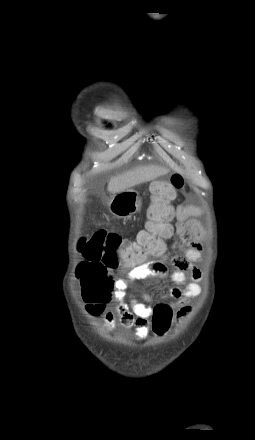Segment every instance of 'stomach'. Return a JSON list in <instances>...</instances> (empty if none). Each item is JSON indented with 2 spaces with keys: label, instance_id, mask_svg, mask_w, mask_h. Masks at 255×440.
<instances>
[{
  "label": "stomach",
  "instance_id": "obj_1",
  "mask_svg": "<svg viewBox=\"0 0 255 440\" xmlns=\"http://www.w3.org/2000/svg\"><path fill=\"white\" fill-rule=\"evenodd\" d=\"M141 198L134 189H127L113 195L108 202V209L116 218L128 219L141 209Z\"/></svg>",
  "mask_w": 255,
  "mask_h": 440
}]
</instances>
